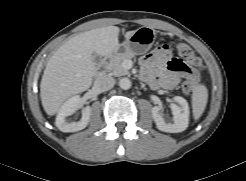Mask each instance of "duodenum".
Wrapping results in <instances>:
<instances>
[{
    "label": "duodenum",
    "mask_w": 246,
    "mask_h": 181,
    "mask_svg": "<svg viewBox=\"0 0 246 181\" xmlns=\"http://www.w3.org/2000/svg\"><path fill=\"white\" fill-rule=\"evenodd\" d=\"M120 49H121V47H117V50H120ZM111 57H112L111 53H109L108 55H106L104 57L102 65L100 66V68H99V70H98V72L96 74L97 77L102 75V73L104 72V69H105L106 65L109 63Z\"/></svg>",
    "instance_id": "duodenum-1"
}]
</instances>
